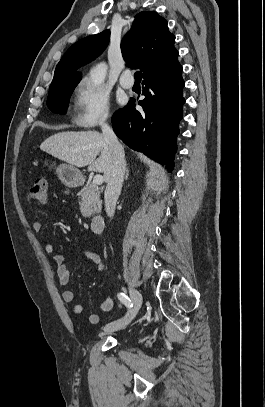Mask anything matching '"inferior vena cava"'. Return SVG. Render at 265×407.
<instances>
[{"mask_svg":"<svg viewBox=\"0 0 265 407\" xmlns=\"http://www.w3.org/2000/svg\"><path fill=\"white\" fill-rule=\"evenodd\" d=\"M102 134L105 141L112 150L113 165L111 173L107 179V186L104 193L105 210L109 217H113L117 199L121 193V188L125 172V156L122 145L119 143L113 129L106 123V117L101 122Z\"/></svg>","mask_w":265,"mask_h":407,"instance_id":"1","label":"inferior vena cava"}]
</instances>
